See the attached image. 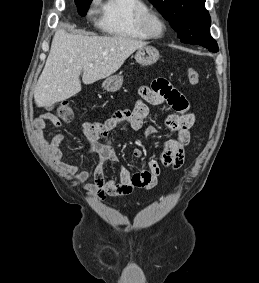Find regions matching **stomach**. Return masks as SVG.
I'll list each match as a JSON object with an SVG mask.
<instances>
[{
    "label": "stomach",
    "instance_id": "1",
    "mask_svg": "<svg viewBox=\"0 0 259 283\" xmlns=\"http://www.w3.org/2000/svg\"><path fill=\"white\" fill-rule=\"evenodd\" d=\"M159 57V51L152 46H144L139 48L135 54V60L137 63L144 66L154 64ZM122 84L123 77L121 75H113L104 80L102 87L108 92H116L121 88Z\"/></svg>",
    "mask_w": 259,
    "mask_h": 283
}]
</instances>
